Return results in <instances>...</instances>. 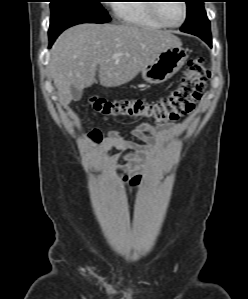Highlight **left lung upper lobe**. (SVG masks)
Wrapping results in <instances>:
<instances>
[{
	"label": "left lung upper lobe",
	"mask_w": 248,
	"mask_h": 299,
	"mask_svg": "<svg viewBox=\"0 0 248 299\" xmlns=\"http://www.w3.org/2000/svg\"><path fill=\"white\" fill-rule=\"evenodd\" d=\"M187 4V18L181 31L196 35L204 33L211 38L210 22L204 9V0H185Z\"/></svg>",
	"instance_id": "left-lung-upper-lobe-1"
}]
</instances>
